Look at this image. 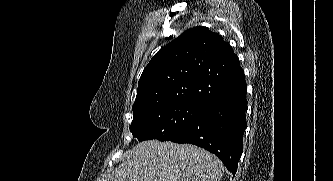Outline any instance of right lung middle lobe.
I'll return each instance as SVG.
<instances>
[{
  "mask_svg": "<svg viewBox=\"0 0 333 181\" xmlns=\"http://www.w3.org/2000/svg\"><path fill=\"white\" fill-rule=\"evenodd\" d=\"M204 105L191 102H169L133 112L130 131L139 141H166L187 128Z\"/></svg>",
  "mask_w": 333,
  "mask_h": 181,
  "instance_id": "1",
  "label": "right lung middle lobe"
}]
</instances>
